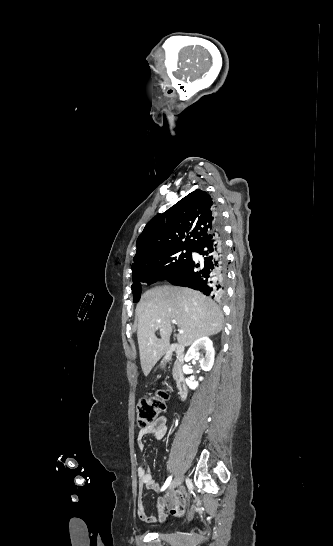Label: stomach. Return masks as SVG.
I'll list each match as a JSON object with an SVG mask.
<instances>
[{
  "label": "stomach",
  "instance_id": "1",
  "mask_svg": "<svg viewBox=\"0 0 333 546\" xmlns=\"http://www.w3.org/2000/svg\"><path fill=\"white\" fill-rule=\"evenodd\" d=\"M165 363H166L165 360L161 361V366L164 367Z\"/></svg>",
  "mask_w": 333,
  "mask_h": 546
}]
</instances>
